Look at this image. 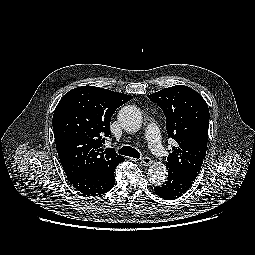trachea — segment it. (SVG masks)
<instances>
[{
  "mask_svg": "<svg viewBox=\"0 0 255 255\" xmlns=\"http://www.w3.org/2000/svg\"><path fill=\"white\" fill-rule=\"evenodd\" d=\"M118 152L121 154V155H125V156H129V157H133V158H136V159H139L140 158V153L130 147V146H123L121 147Z\"/></svg>",
  "mask_w": 255,
  "mask_h": 255,
  "instance_id": "obj_1",
  "label": "trachea"
}]
</instances>
